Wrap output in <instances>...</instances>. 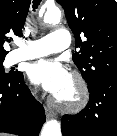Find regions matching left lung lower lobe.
<instances>
[{
	"label": "left lung lower lobe",
	"instance_id": "0a47b994",
	"mask_svg": "<svg viewBox=\"0 0 117 136\" xmlns=\"http://www.w3.org/2000/svg\"><path fill=\"white\" fill-rule=\"evenodd\" d=\"M89 93L84 110L62 117L63 136H117V75L100 80Z\"/></svg>",
	"mask_w": 117,
	"mask_h": 136
}]
</instances>
